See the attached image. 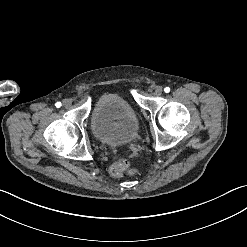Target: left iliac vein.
<instances>
[{
	"label": "left iliac vein",
	"mask_w": 247,
	"mask_h": 247,
	"mask_svg": "<svg viewBox=\"0 0 247 247\" xmlns=\"http://www.w3.org/2000/svg\"><path fill=\"white\" fill-rule=\"evenodd\" d=\"M162 93H163V90H162L161 88L155 89L154 94H155L156 96H161Z\"/></svg>",
	"instance_id": "obj_1"
}]
</instances>
